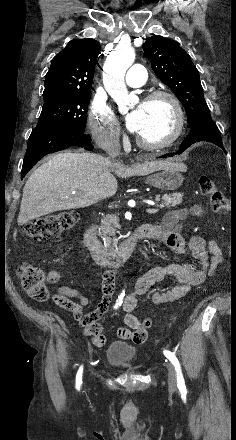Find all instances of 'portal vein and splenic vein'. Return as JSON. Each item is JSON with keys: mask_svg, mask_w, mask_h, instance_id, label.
Masks as SVG:
<instances>
[{"mask_svg": "<svg viewBox=\"0 0 236 440\" xmlns=\"http://www.w3.org/2000/svg\"><path fill=\"white\" fill-rule=\"evenodd\" d=\"M159 211V209H157V208H147L146 209V212L147 213H156V212H158Z\"/></svg>", "mask_w": 236, "mask_h": 440, "instance_id": "1", "label": "portal vein and splenic vein"}]
</instances>
